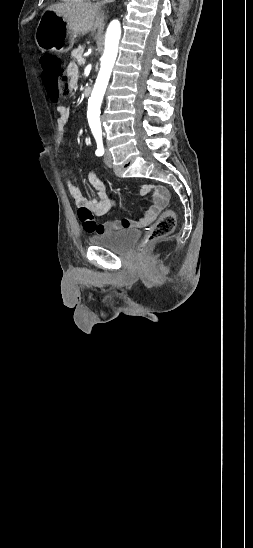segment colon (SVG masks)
<instances>
[{
	"instance_id": "5ec220e1",
	"label": "colon",
	"mask_w": 253,
	"mask_h": 548,
	"mask_svg": "<svg viewBox=\"0 0 253 548\" xmlns=\"http://www.w3.org/2000/svg\"><path fill=\"white\" fill-rule=\"evenodd\" d=\"M44 73L42 75L43 88L50 99H56L58 104L65 102L64 96L71 94V82L66 72L61 68L60 60L53 55L42 57ZM176 218L172 211L167 210L161 214L157 221L149 229L142 239L139 249L147 248L154 241L171 234L175 228Z\"/></svg>"
}]
</instances>
